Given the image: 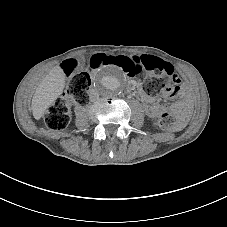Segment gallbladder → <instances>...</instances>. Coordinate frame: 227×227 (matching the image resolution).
I'll list each match as a JSON object with an SVG mask.
<instances>
[{
  "label": "gallbladder",
  "instance_id": "1",
  "mask_svg": "<svg viewBox=\"0 0 227 227\" xmlns=\"http://www.w3.org/2000/svg\"><path fill=\"white\" fill-rule=\"evenodd\" d=\"M77 58L79 59L80 63L82 64L83 61H84V56L80 55V56H77ZM82 69H83V66L80 65L79 68H78V71H81Z\"/></svg>",
  "mask_w": 227,
  "mask_h": 227
}]
</instances>
